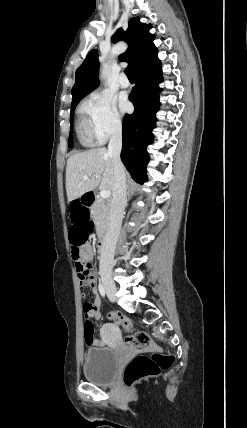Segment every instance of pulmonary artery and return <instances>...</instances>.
<instances>
[{
  "mask_svg": "<svg viewBox=\"0 0 247 428\" xmlns=\"http://www.w3.org/2000/svg\"><path fill=\"white\" fill-rule=\"evenodd\" d=\"M119 84H120V86L122 87V88H127V87H129V80L127 79V77L124 75V74H122L121 76H120V78H119Z\"/></svg>",
  "mask_w": 247,
  "mask_h": 428,
  "instance_id": "e3ab8cb5",
  "label": "pulmonary artery"
}]
</instances>
